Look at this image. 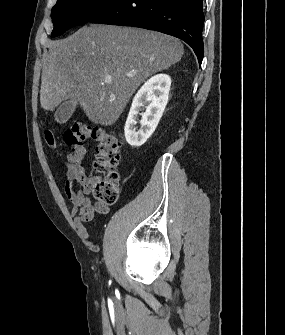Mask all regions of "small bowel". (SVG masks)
I'll list each match as a JSON object with an SVG mask.
<instances>
[{
	"label": "small bowel",
	"instance_id": "c3829d8e",
	"mask_svg": "<svg viewBox=\"0 0 285 335\" xmlns=\"http://www.w3.org/2000/svg\"><path fill=\"white\" fill-rule=\"evenodd\" d=\"M91 180L85 168L80 165L68 164L65 191L72 203L71 215L74 223L83 238L89 236L86 223L91 222L96 213L107 214L110 211L108 205L94 202L90 198Z\"/></svg>",
	"mask_w": 285,
	"mask_h": 335
}]
</instances>
